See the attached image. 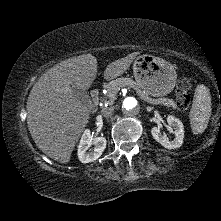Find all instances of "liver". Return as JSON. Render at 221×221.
<instances>
[{
    "instance_id": "1",
    "label": "liver",
    "mask_w": 221,
    "mask_h": 221,
    "mask_svg": "<svg viewBox=\"0 0 221 221\" xmlns=\"http://www.w3.org/2000/svg\"><path fill=\"white\" fill-rule=\"evenodd\" d=\"M139 52L107 65L104 78L121 76ZM97 75V58L83 54L50 68L34 84L27 100L28 129L37 147L48 157L68 163L88 124L90 110L72 93L88 90Z\"/></svg>"
}]
</instances>
